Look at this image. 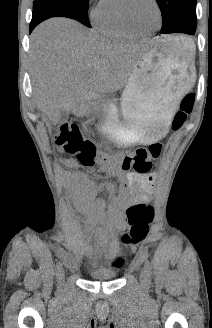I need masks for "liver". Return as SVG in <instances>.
I'll return each mask as SVG.
<instances>
[{
    "mask_svg": "<svg viewBox=\"0 0 212 328\" xmlns=\"http://www.w3.org/2000/svg\"><path fill=\"white\" fill-rule=\"evenodd\" d=\"M145 50L100 36L67 18H51L31 36L30 59L37 108L57 124L86 93H114L128 82Z\"/></svg>",
    "mask_w": 212,
    "mask_h": 328,
    "instance_id": "6515ba94",
    "label": "liver"
}]
</instances>
